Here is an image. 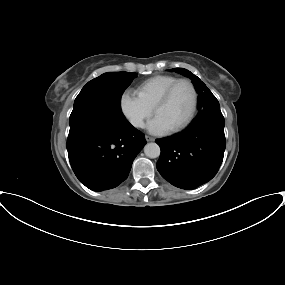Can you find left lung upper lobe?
<instances>
[{"label": "left lung upper lobe", "mask_w": 285, "mask_h": 285, "mask_svg": "<svg viewBox=\"0 0 285 285\" xmlns=\"http://www.w3.org/2000/svg\"><path fill=\"white\" fill-rule=\"evenodd\" d=\"M171 70L192 79V82L199 93L198 107L200 111L196 118L202 117L206 114H221L218 100L196 75L184 68H174Z\"/></svg>", "instance_id": "left-lung-upper-lobe-1"}]
</instances>
